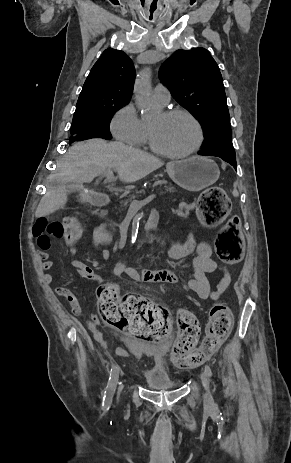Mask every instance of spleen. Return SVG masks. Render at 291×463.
<instances>
[{"label": "spleen", "mask_w": 291, "mask_h": 463, "mask_svg": "<svg viewBox=\"0 0 291 463\" xmlns=\"http://www.w3.org/2000/svg\"><path fill=\"white\" fill-rule=\"evenodd\" d=\"M233 196L237 197L239 194H238V191L236 189L233 190L232 192Z\"/></svg>", "instance_id": "spleen-1"}]
</instances>
